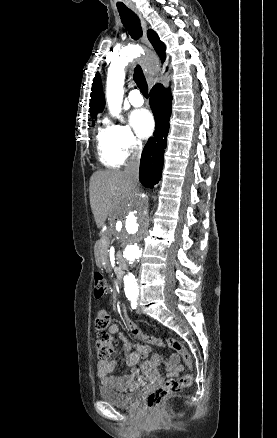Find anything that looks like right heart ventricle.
<instances>
[{
  "label": "right heart ventricle",
  "mask_w": 277,
  "mask_h": 438,
  "mask_svg": "<svg viewBox=\"0 0 277 438\" xmlns=\"http://www.w3.org/2000/svg\"><path fill=\"white\" fill-rule=\"evenodd\" d=\"M97 150L99 160L105 166L112 169L121 166L123 159L116 149L111 125L107 124L100 128L97 135Z\"/></svg>",
  "instance_id": "1"
}]
</instances>
